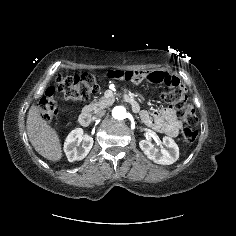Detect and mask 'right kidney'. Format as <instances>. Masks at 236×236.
I'll list each match as a JSON object with an SVG mask.
<instances>
[{"label": "right kidney", "mask_w": 236, "mask_h": 236, "mask_svg": "<svg viewBox=\"0 0 236 236\" xmlns=\"http://www.w3.org/2000/svg\"><path fill=\"white\" fill-rule=\"evenodd\" d=\"M82 142V145L80 146ZM93 138L83 133L82 128L72 130L64 143V152L69 162L84 159L93 146Z\"/></svg>", "instance_id": "ca27d5eb"}]
</instances>
